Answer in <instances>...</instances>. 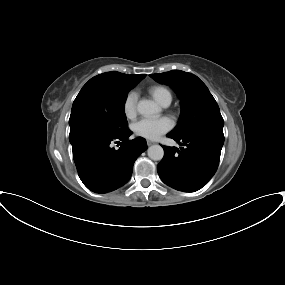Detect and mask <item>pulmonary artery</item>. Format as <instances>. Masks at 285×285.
Returning <instances> with one entry per match:
<instances>
[{
  "label": "pulmonary artery",
  "mask_w": 285,
  "mask_h": 285,
  "mask_svg": "<svg viewBox=\"0 0 285 285\" xmlns=\"http://www.w3.org/2000/svg\"><path fill=\"white\" fill-rule=\"evenodd\" d=\"M170 103H165L162 106L167 107Z\"/></svg>",
  "instance_id": "obj_1"
}]
</instances>
